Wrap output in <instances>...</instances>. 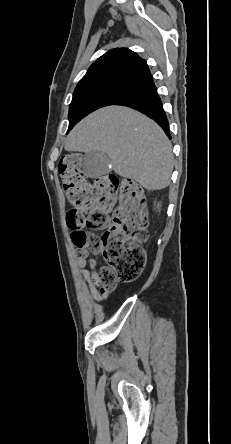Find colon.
Here are the masks:
<instances>
[{
  "instance_id": "obj_1",
  "label": "colon",
  "mask_w": 231,
  "mask_h": 444,
  "mask_svg": "<svg viewBox=\"0 0 231 444\" xmlns=\"http://www.w3.org/2000/svg\"><path fill=\"white\" fill-rule=\"evenodd\" d=\"M58 169L72 205L67 213L68 227L81 234L80 242L88 255L101 254L107 263L99 272L100 286L111 292L119 282L136 280L146 264L142 243L148 237L142 188L131 179L115 175L89 182L78 154L63 156ZM103 229L100 236L94 233Z\"/></svg>"
}]
</instances>
